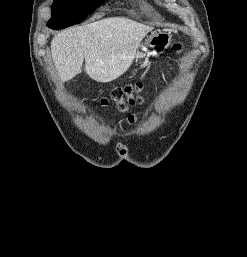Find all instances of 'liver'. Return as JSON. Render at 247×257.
Wrapping results in <instances>:
<instances>
[{"instance_id": "obj_1", "label": "liver", "mask_w": 247, "mask_h": 257, "mask_svg": "<svg viewBox=\"0 0 247 257\" xmlns=\"http://www.w3.org/2000/svg\"><path fill=\"white\" fill-rule=\"evenodd\" d=\"M153 28L124 17H111L61 31L51 42L53 62L62 82L85 71L108 83L131 66L142 39Z\"/></svg>"}]
</instances>
